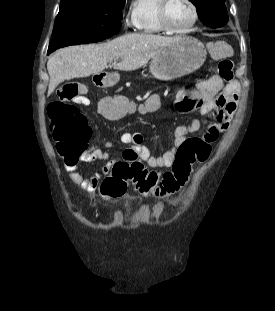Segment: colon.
<instances>
[{
  "label": "colon",
  "instance_id": "obj_1",
  "mask_svg": "<svg viewBox=\"0 0 275 311\" xmlns=\"http://www.w3.org/2000/svg\"><path fill=\"white\" fill-rule=\"evenodd\" d=\"M228 52L229 48L224 42H214L210 46L211 56L219 60L218 73L225 81L233 79V62L226 58ZM84 94L82 86L68 83L60 88L59 100L48 107L51 133L61 158L76 160L87 148L90 135L87 119L78 108L66 103L72 100L73 104H89V97H81ZM151 96L147 101H142V97H105L100 103L99 112L117 123H120L119 117L151 116L150 108L154 112L158 111L160 95L153 92ZM218 136L193 137L184 141L177 150L172 169L161 177L139 161L118 162L113 166L111 174L105 175L97 195L103 197L104 202H111L112 199L124 196L129 184L140 193L156 198L173 195L188 183L193 166L209 159L211 143Z\"/></svg>",
  "mask_w": 275,
  "mask_h": 311
}]
</instances>
